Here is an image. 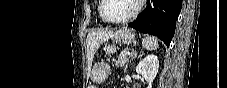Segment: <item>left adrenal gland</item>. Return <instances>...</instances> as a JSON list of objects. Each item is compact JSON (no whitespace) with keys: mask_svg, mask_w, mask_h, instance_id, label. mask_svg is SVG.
<instances>
[{"mask_svg":"<svg viewBox=\"0 0 227 88\" xmlns=\"http://www.w3.org/2000/svg\"><path fill=\"white\" fill-rule=\"evenodd\" d=\"M136 57H137V52H136L135 49H132L129 58H131V59L133 60V59H135ZM128 62H129V61H127L126 65H125V69H124L125 72H126L127 67H128Z\"/></svg>","mask_w":227,"mask_h":88,"instance_id":"obj_1","label":"left adrenal gland"}]
</instances>
